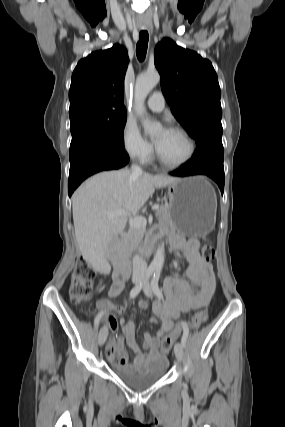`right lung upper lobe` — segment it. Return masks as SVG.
I'll use <instances>...</instances> for the list:
<instances>
[{
	"label": "right lung upper lobe",
	"instance_id": "cb5924a9",
	"mask_svg": "<svg viewBox=\"0 0 285 427\" xmlns=\"http://www.w3.org/2000/svg\"><path fill=\"white\" fill-rule=\"evenodd\" d=\"M127 51L114 45L80 60L72 74L69 115L85 111L126 112L124 78Z\"/></svg>",
	"mask_w": 285,
	"mask_h": 427
}]
</instances>
